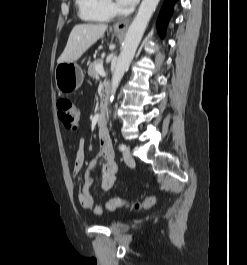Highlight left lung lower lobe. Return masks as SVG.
Segmentation results:
<instances>
[{"instance_id":"1","label":"left lung lower lobe","mask_w":247,"mask_h":265,"mask_svg":"<svg viewBox=\"0 0 247 265\" xmlns=\"http://www.w3.org/2000/svg\"><path fill=\"white\" fill-rule=\"evenodd\" d=\"M177 0H165L158 17L157 26L161 33H163L169 18L173 12V5Z\"/></svg>"}]
</instances>
